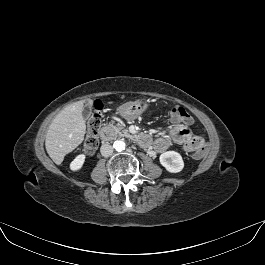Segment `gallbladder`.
Returning a JSON list of instances; mask_svg holds the SVG:
<instances>
[{
	"mask_svg": "<svg viewBox=\"0 0 265 265\" xmlns=\"http://www.w3.org/2000/svg\"><path fill=\"white\" fill-rule=\"evenodd\" d=\"M82 116L85 120L89 119L91 116V107L89 105H85L82 110Z\"/></svg>",
	"mask_w": 265,
	"mask_h": 265,
	"instance_id": "obj_1",
	"label": "gallbladder"
}]
</instances>
